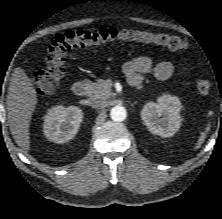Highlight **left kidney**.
<instances>
[{
  "label": "left kidney",
  "instance_id": "5707ae66",
  "mask_svg": "<svg viewBox=\"0 0 222 219\" xmlns=\"http://www.w3.org/2000/svg\"><path fill=\"white\" fill-rule=\"evenodd\" d=\"M182 104L178 97L164 94L157 103L148 102L141 111V118L149 131L161 137L173 136L181 125Z\"/></svg>",
  "mask_w": 222,
  "mask_h": 219
}]
</instances>
